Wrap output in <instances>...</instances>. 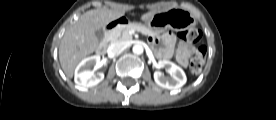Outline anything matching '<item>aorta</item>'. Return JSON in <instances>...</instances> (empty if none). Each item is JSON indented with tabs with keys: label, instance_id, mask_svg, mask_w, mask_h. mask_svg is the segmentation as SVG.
I'll list each match as a JSON object with an SVG mask.
<instances>
[{
	"label": "aorta",
	"instance_id": "aorta-1",
	"mask_svg": "<svg viewBox=\"0 0 276 120\" xmlns=\"http://www.w3.org/2000/svg\"><path fill=\"white\" fill-rule=\"evenodd\" d=\"M134 54L140 55L143 53L144 48L141 44H135L132 48Z\"/></svg>",
	"mask_w": 276,
	"mask_h": 120
}]
</instances>
